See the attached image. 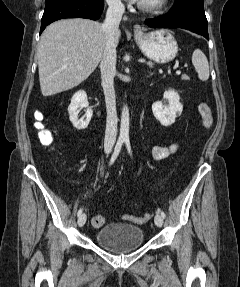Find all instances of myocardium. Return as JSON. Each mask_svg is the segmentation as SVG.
Here are the masks:
<instances>
[{
  "mask_svg": "<svg viewBox=\"0 0 240 287\" xmlns=\"http://www.w3.org/2000/svg\"><path fill=\"white\" fill-rule=\"evenodd\" d=\"M167 3V0H155L152 3L140 2L138 7L140 10L147 13H157L161 11Z\"/></svg>",
  "mask_w": 240,
  "mask_h": 287,
  "instance_id": "1",
  "label": "myocardium"
}]
</instances>
